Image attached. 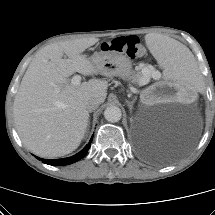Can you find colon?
Returning a JSON list of instances; mask_svg holds the SVG:
<instances>
[{"label":"colon","instance_id":"colon-1","mask_svg":"<svg viewBox=\"0 0 215 215\" xmlns=\"http://www.w3.org/2000/svg\"><path fill=\"white\" fill-rule=\"evenodd\" d=\"M107 51L124 53L130 58H140L145 54V48L135 35L116 37L103 44Z\"/></svg>","mask_w":215,"mask_h":215}]
</instances>
